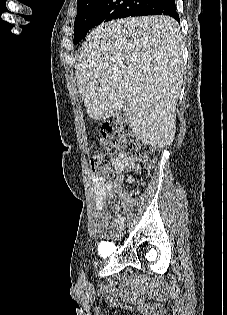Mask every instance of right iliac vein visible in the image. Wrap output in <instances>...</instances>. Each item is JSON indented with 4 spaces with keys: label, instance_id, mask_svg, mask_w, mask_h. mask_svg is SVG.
<instances>
[{
    "label": "right iliac vein",
    "instance_id": "1",
    "mask_svg": "<svg viewBox=\"0 0 227 315\" xmlns=\"http://www.w3.org/2000/svg\"><path fill=\"white\" fill-rule=\"evenodd\" d=\"M125 230V225L124 224H120L117 228V232L118 234H122Z\"/></svg>",
    "mask_w": 227,
    "mask_h": 315
}]
</instances>
